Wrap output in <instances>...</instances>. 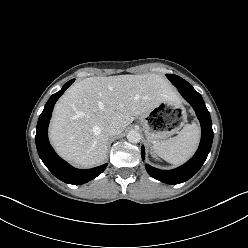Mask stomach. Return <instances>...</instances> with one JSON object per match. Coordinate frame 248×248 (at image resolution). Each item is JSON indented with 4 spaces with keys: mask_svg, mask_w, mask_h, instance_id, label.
Here are the masks:
<instances>
[{
    "mask_svg": "<svg viewBox=\"0 0 248 248\" xmlns=\"http://www.w3.org/2000/svg\"><path fill=\"white\" fill-rule=\"evenodd\" d=\"M179 120H182L181 125L186 121V111L177 100L163 101L140 117L145 136L148 142L153 144L165 140L176 132L179 126L173 128V125Z\"/></svg>",
    "mask_w": 248,
    "mask_h": 248,
    "instance_id": "stomach-1",
    "label": "stomach"
}]
</instances>
